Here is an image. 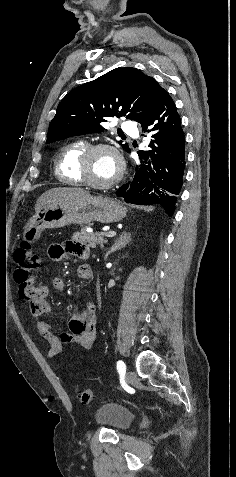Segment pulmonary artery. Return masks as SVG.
<instances>
[{
	"instance_id": "pulmonary-artery-1",
	"label": "pulmonary artery",
	"mask_w": 236,
	"mask_h": 477,
	"mask_svg": "<svg viewBox=\"0 0 236 477\" xmlns=\"http://www.w3.org/2000/svg\"><path fill=\"white\" fill-rule=\"evenodd\" d=\"M122 130L127 134H136V128L132 122H124L121 125Z\"/></svg>"
}]
</instances>
